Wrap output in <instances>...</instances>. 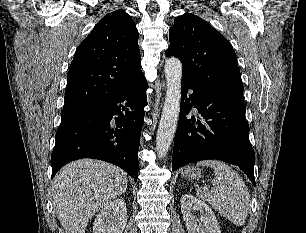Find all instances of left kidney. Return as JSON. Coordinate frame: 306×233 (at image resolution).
Listing matches in <instances>:
<instances>
[{
	"instance_id": "5707ae66",
	"label": "left kidney",
	"mask_w": 306,
	"mask_h": 233,
	"mask_svg": "<svg viewBox=\"0 0 306 233\" xmlns=\"http://www.w3.org/2000/svg\"><path fill=\"white\" fill-rule=\"evenodd\" d=\"M180 204L188 233H221L214 212L205 202L191 194H184ZM195 211H199L201 214L199 223L194 215Z\"/></svg>"
}]
</instances>
